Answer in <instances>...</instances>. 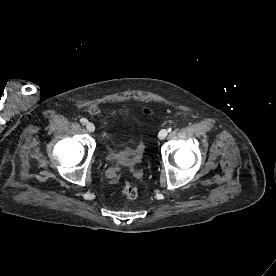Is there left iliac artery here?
I'll list each match as a JSON object with an SVG mask.
<instances>
[{"label":"left iliac artery","mask_w":276,"mask_h":276,"mask_svg":"<svg viewBox=\"0 0 276 276\" xmlns=\"http://www.w3.org/2000/svg\"><path fill=\"white\" fill-rule=\"evenodd\" d=\"M169 132L171 131V128H169V130H168Z\"/></svg>","instance_id":"44dca946"}]
</instances>
